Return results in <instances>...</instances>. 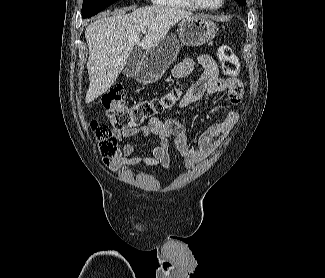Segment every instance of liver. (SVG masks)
<instances>
[{
	"label": "liver",
	"instance_id": "liver-1",
	"mask_svg": "<svg viewBox=\"0 0 325 278\" xmlns=\"http://www.w3.org/2000/svg\"><path fill=\"white\" fill-rule=\"evenodd\" d=\"M131 9L133 11L126 14ZM192 16L191 12L175 7H129L88 25L85 37L89 47V88L85 102L94 101L114 84L135 45L145 50L152 48L177 22ZM144 29L146 33L140 42Z\"/></svg>",
	"mask_w": 325,
	"mask_h": 278
}]
</instances>
